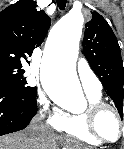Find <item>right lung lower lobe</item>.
<instances>
[{
    "label": "right lung lower lobe",
    "instance_id": "obj_1",
    "mask_svg": "<svg viewBox=\"0 0 124 149\" xmlns=\"http://www.w3.org/2000/svg\"><path fill=\"white\" fill-rule=\"evenodd\" d=\"M36 96L0 82V136L27 127L37 112Z\"/></svg>",
    "mask_w": 124,
    "mask_h": 149
}]
</instances>
